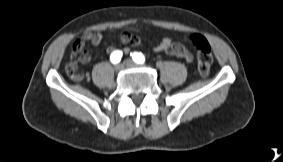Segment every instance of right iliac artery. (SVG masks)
<instances>
[{
	"mask_svg": "<svg viewBox=\"0 0 283 162\" xmlns=\"http://www.w3.org/2000/svg\"><path fill=\"white\" fill-rule=\"evenodd\" d=\"M121 58H122V52L120 50H116L112 52L110 55V60L113 64L120 62Z\"/></svg>",
	"mask_w": 283,
	"mask_h": 162,
	"instance_id": "right-iliac-artery-1",
	"label": "right iliac artery"
}]
</instances>
